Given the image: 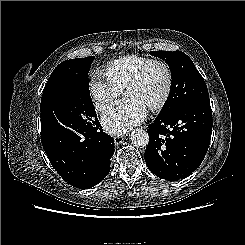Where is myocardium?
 Wrapping results in <instances>:
<instances>
[{"label":"myocardium","mask_w":245,"mask_h":245,"mask_svg":"<svg viewBox=\"0 0 245 245\" xmlns=\"http://www.w3.org/2000/svg\"><path fill=\"white\" fill-rule=\"evenodd\" d=\"M152 64L161 65L164 68V71L166 73V87H165L164 93H163L162 97L160 98V100L156 104H154L153 106H151L149 108L150 111L157 112V111L161 110L166 105V103L170 97L171 91H172V84H173L172 71H171L170 66L168 65V63L165 60L159 59V58H151V59L147 60L134 73V75L127 81V83L123 87V93H125V91L127 89L138 84L140 82V80L142 79L143 75L145 74L146 70Z\"/></svg>","instance_id":"f54148a6"}]
</instances>
